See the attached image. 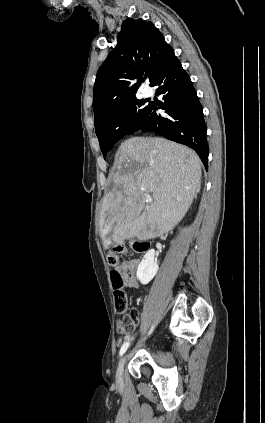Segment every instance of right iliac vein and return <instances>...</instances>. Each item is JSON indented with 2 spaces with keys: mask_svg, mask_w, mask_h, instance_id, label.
<instances>
[{
  "mask_svg": "<svg viewBox=\"0 0 265 423\" xmlns=\"http://www.w3.org/2000/svg\"><path fill=\"white\" fill-rule=\"evenodd\" d=\"M125 361H126V356H124L120 360V362H119V365H118V368H117V372H116V379H117V381H120L121 380L123 369H124V365H125Z\"/></svg>",
  "mask_w": 265,
  "mask_h": 423,
  "instance_id": "right-iliac-vein-1",
  "label": "right iliac vein"
}]
</instances>
